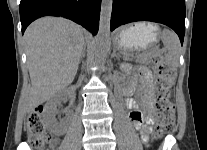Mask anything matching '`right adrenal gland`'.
<instances>
[{
    "label": "right adrenal gland",
    "instance_id": "obj_1",
    "mask_svg": "<svg viewBox=\"0 0 207 150\" xmlns=\"http://www.w3.org/2000/svg\"><path fill=\"white\" fill-rule=\"evenodd\" d=\"M85 51H86V45L83 46V50L79 62L83 61V58L85 57Z\"/></svg>",
    "mask_w": 207,
    "mask_h": 150
}]
</instances>
